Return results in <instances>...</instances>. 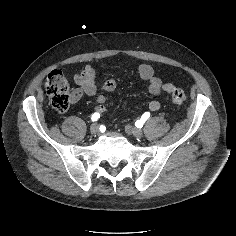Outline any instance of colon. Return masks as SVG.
<instances>
[{"mask_svg": "<svg viewBox=\"0 0 236 236\" xmlns=\"http://www.w3.org/2000/svg\"><path fill=\"white\" fill-rule=\"evenodd\" d=\"M45 86L52 106L58 111H66L72 103V93L62 71H52L46 79ZM171 99L175 104H182L187 100V95L183 90L176 88L172 92Z\"/></svg>", "mask_w": 236, "mask_h": 236, "instance_id": "colon-1", "label": "colon"}]
</instances>
